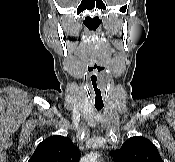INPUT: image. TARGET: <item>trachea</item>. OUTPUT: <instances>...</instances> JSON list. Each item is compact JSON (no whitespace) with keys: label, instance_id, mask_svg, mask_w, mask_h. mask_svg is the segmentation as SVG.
Listing matches in <instances>:
<instances>
[{"label":"trachea","instance_id":"obj_1","mask_svg":"<svg viewBox=\"0 0 175 162\" xmlns=\"http://www.w3.org/2000/svg\"><path fill=\"white\" fill-rule=\"evenodd\" d=\"M102 109V107H96L97 111H100Z\"/></svg>","mask_w":175,"mask_h":162}]
</instances>
